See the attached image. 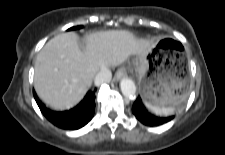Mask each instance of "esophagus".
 <instances>
[{"mask_svg": "<svg viewBox=\"0 0 225 155\" xmlns=\"http://www.w3.org/2000/svg\"><path fill=\"white\" fill-rule=\"evenodd\" d=\"M126 76H127V70H126V68L125 67H121V68H119L116 71V73L114 75V80L115 81H118V80H120V79H122L123 77H126Z\"/></svg>", "mask_w": 225, "mask_h": 155, "instance_id": "obj_1", "label": "esophagus"}]
</instances>
